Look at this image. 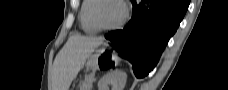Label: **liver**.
<instances>
[{
	"label": "liver",
	"instance_id": "liver-1",
	"mask_svg": "<svg viewBox=\"0 0 228 90\" xmlns=\"http://www.w3.org/2000/svg\"><path fill=\"white\" fill-rule=\"evenodd\" d=\"M103 43L102 37L75 34L57 54L53 64V90H69V87L88 57Z\"/></svg>",
	"mask_w": 228,
	"mask_h": 90
}]
</instances>
